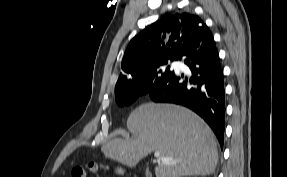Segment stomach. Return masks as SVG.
<instances>
[{"instance_id":"0dacf381","label":"stomach","mask_w":287,"mask_h":177,"mask_svg":"<svg viewBox=\"0 0 287 177\" xmlns=\"http://www.w3.org/2000/svg\"><path fill=\"white\" fill-rule=\"evenodd\" d=\"M117 173L118 174H123L124 173V170L122 168H117Z\"/></svg>"}]
</instances>
